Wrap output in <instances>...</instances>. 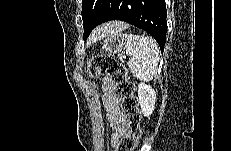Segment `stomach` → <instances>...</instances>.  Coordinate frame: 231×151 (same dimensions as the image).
<instances>
[{"mask_svg": "<svg viewBox=\"0 0 231 151\" xmlns=\"http://www.w3.org/2000/svg\"><path fill=\"white\" fill-rule=\"evenodd\" d=\"M126 35L121 32L110 33L106 36L102 49L111 54H120L124 51Z\"/></svg>", "mask_w": 231, "mask_h": 151, "instance_id": "0dacf381", "label": "stomach"}]
</instances>
